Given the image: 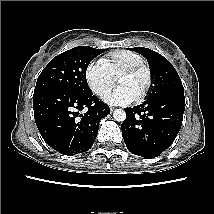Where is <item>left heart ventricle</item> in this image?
I'll list each match as a JSON object with an SVG mask.
<instances>
[{"instance_id": "left-heart-ventricle-1", "label": "left heart ventricle", "mask_w": 214, "mask_h": 214, "mask_svg": "<svg viewBox=\"0 0 214 214\" xmlns=\"http://www.w3.org/2000/svg\"><path fill=\"white\" fill-rule=\"evenodd\" d=\"M119 86H124L130 89L136 96H138L144 85V76L136 75V76H119L118 78Z\"/></svg>"}]
</instances>
